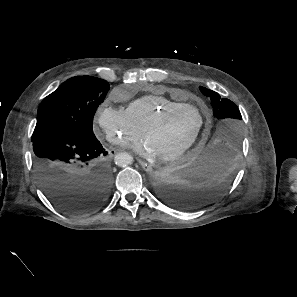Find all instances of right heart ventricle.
<instances>
[{"label": "right heart ventricle", "instance_id": "right-heart-ventricle-1", "mask_svg": "<svg viewBox=\"0 0 297 297\" xmlns=\"http://www.w3.org/2000/svg\"><path fill=\"white\" fill-rule=\"evenodd\" d=\"M180 104L184 102L172 100L164 95L151 94L131 101L125 111L131 121L142 131L158 112Z\"/></svg>", "mask_w": 297, "mask_h": 297}]
</instances>
